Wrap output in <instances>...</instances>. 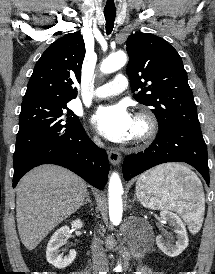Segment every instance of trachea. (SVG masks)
<instances>
[{
    "instance_id": "trachea-1",
    "label": "trachea",
    "mask_w": 215,
    "mask_h": 274,
    "mask_svg": "<svg viewBox=\"0 0 215 274\" xmlns=\"http://www.w3.org/2000/svg\"><path fill=\"white\" fill-rule=\"evenodd\" d=\"M104 16L106 20V33L109 35L114 27L116 13H104Z\"/></svg>"
}]
</instances>
